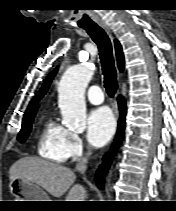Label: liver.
I'll list each match as a JSON object with an SVG mask.
<instances>
[{
  "instance_id": "6515ba94",
  "label": "liver",
  "mask_w": 176,
  "mask_h": 211,
  "mask_svg": "<svg viewBox=\"0 0 176 211\" xmlns=\"http://www.w3.org/2000/svg\"><path fill=\"white\" fill-rule=\"evenodd\" d=\"M21 178L35 184L54 197H60L68 191L66 201H85L86 189L74 184V172L59 164L34 157H24L16 161L9 170V179Z\"/></svg>"
}]
</instances>
